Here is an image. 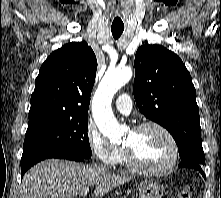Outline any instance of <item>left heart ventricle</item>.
I'll return each instance as SVG.
<instances>
[{
	"label": "left heart ventricle",
	"mask_w": 221,
	"mask_h": 198,
	"mask_svg": "<svg viewBox=\"0 0 221 198\" xmlns=\"http://www.w3.org/2000/svg\"><path fill=\"white\" fill-rule=\"evenodd\" d=\"M124 146L130 147L137 160L147 167H160L166 164L172 154L168 138L155 128H148L139 133L130 131Z\"/></svg>",
	"instance_id": "1"
}]
</instances>
